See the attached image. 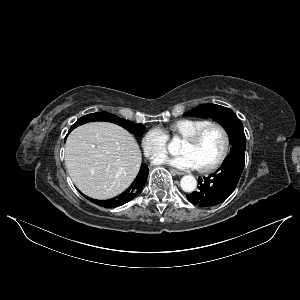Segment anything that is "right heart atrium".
I'll use <instances>...</instances> for the list:
<instances>
[{
	"instance_id": "d8ad5b80",
	"label": "right heart atrium",
	"mask_w": 300,
	"mask_h": 300,
	"mask_svg": "<svg viewBox=\"0 0 300 300\" xmlns=\"http://www.w3.org/2000/svg\"><path fill=\"white\" fill-rule=\"evenodd\" d=\"M141 144L146 157L155 159L167 151L168 136L160 128L154 127L144 134Z\"/></svg>"
}]
</instances>
